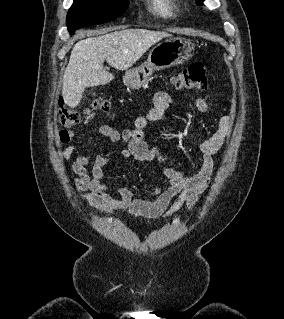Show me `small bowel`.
Instances as JSON below:
<instances>
[{
  "mask_svg": "<svg viewBox=\"0 0 284 319\" xmlns=\"http://www.w3.org/2000/svg\"><path fill=\"white\" fill-rule=\"evenodd\" d=\"M172 96L159 91L153 99V106L146 117H138L133 129L122 132L102 125L99 134L112 142L119 140L127 143V147L121 151L124 158H133L137 161H157L164 165L163 175L168 181L165 188H156L151 192L154 199L134 198L133 192L125 187L118 186L119 198L112 197L107 191L109 185L104 181L103 167L109 162L107 155L83 154L78 156L72 164V170L77 174L74 187L80 197L98 211L113 213L117 210L126 211L134 217L146 219L169 218L182 206L190 211L197 202V196L208 187L213 172V155L216 154L231 133L233 121L229 116H223L218 121L217 129L210 135L200 137L197 146L201 152V160L198 169L194 173H187L172 166L169 157L156 148H149L144 141V130L148 122H158L165 117L167 109L172 104ZM195 108L205 113L212 105L208 97H194L192 99ZM74 136L73 131H60L57 137L58 146L70 143ZM77 146L67 145L61 152L62 160H69ZM91 165L90 171L87 166Z\"/></svg>",
  "mask_w": 284,
  "mask_h": 319,
  "instance_id": "small-bowel-1",
  "label": "small bowel"
}]
</instances>
